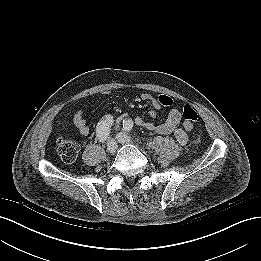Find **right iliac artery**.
Segmentation results:
<instances>
[{"mask_svg":"<svg viewBox=\"0 0 261 261\" xmlns=\"http://www.w3.org/2000/svg\"><path fill=\"white\" fill-rule=\"evenodd\" d=\"M113 124V117L106 115L98 124L96 128V136L100 142H105L110 133V127Z\"/></svg>","mask_w":261,"mask_h":261,"instance_id":"1","label":"right iliac artery"}]
</instances>
